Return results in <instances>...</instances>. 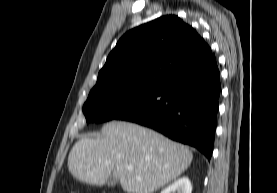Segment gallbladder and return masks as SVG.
<instances>
[{
  "instance_id": "1",
  "label": "gallbladder",
  "mask_w": 277,
  "mask_h": 193,
  "mask_svg": "<svg viewBox=\"0 0 277 193\" xmlns=\"http://www.w3.org/2000/svg\"><path fill=\"white\" fill-rule=\"evenodd\" d=\"M106 184L108 187H115L118 184V179L114 176H110Z\"/></svg>"
}]
</instances>
